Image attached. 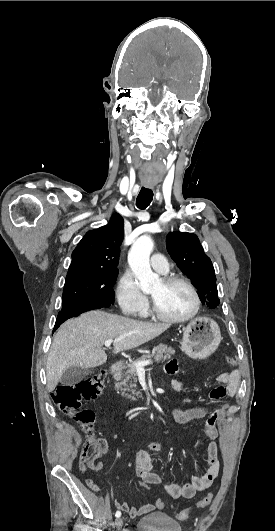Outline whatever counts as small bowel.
I'll return each instance as SVG.
<instances>
[{
	"mask_svg": "<svg viewBox=\"0 0 275 531\" xmlns=\"http://www.w3.org/2000/svg\"><path fill=\"white\" fill-rule=\"evenodd\" d=\"M166 370L170 374H177L179 370V360L171 359L166 365ZM216 382L220 385H223L227 390V396L232 398L236 395L239 387L240 372L238 370H233L230 372H221L217 375ZM184 389V381L181 378L176 377L171 383V390L174 394L180 395L183 393ZM224 410L225 406H220L215 409L209 415L204 425V433L210 440L206 448L207 456L205 474L201 477H193L190 482L181 485L171 483L165 484V490L171 498L190 499L194 497L196 492L203 491L209 488L218 477L220 471V460L219 446L216 441L219 436L217 423L220 417L223 415ZM208 414L209 408L203 405L193 406L186 410H182L181 408L176 406L172 410L173 418L179 423H187L192 420L201 419L207 416ZM150 448L154 452H159L161 450V445L158 442H153ZM135 473L138 478H148L150 483H156V485H160L162 483V479L159 474H157L153 470L152 460L147 451L140 450L137 453L135 458ZM90 489L95 493L99 492L98 484L96 488ZM113 505L116 509L123 512H127L131 518H136L145 514H149L154 510V505L152 503H145L140 507H130L126 501H122L120 499H115L113 501Z\"/></svg>",
	"mask_w": 275,
	"mask_h": 531,
	"instance_id": "small-bowel-1",
	"label": "small bowel"
}]
</instances>
